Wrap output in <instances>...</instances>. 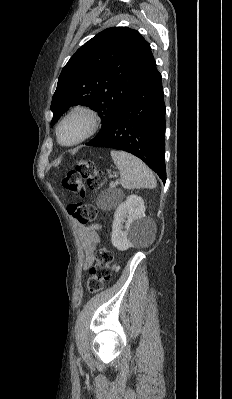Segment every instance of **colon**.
<instances>
[{
	"mask_svg": "<svg viewBox=\"0 0 232 399\" xmlns=\"http://www.w3.org/2000/svg\"><path fill=\"white\" fill-rule=\"evenodd\" d=\"M93 165H96V160L81 159L74 163L77 170H72V175H64L62 180V185L68 186L71 196L81 198V203L66 204L70 218H77L78 222H90L97 214V209L91 208V203H86V198H82L86 195V180L94 181L97 188H102L105 182L106 185H111V174H106L105 177V172L94 170ZM102 230H107V225H102ZM113 266L114 253H111V250L102 251V241H97V246L94 247V263H90L88 269L91 277L86 279V290L94 293L95 289L102 291L103 287H107L108 277H113Z\"/></svg>",
	"mask_w": 232,
	"mask_h": 399,
	"instance_id": "colon-1",
	"label": "colon"
}]
</instances>
